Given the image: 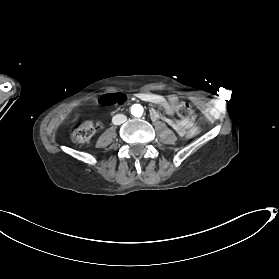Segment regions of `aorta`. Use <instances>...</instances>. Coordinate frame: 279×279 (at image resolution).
I'll use <instances>...</instances> for the list:
<instances>
[{"mask_svg": "<svg viewBox=\"0 0 279 279\" xmlns=\"http://www.w3.org/2000/svg\"><path fill=\"white\" fill-rule=\"evenodd\" d=\"M131 114L135 117H140L143 114V107L140 104H134L131 107Z\"/></svg>", "mask_w": 279, "mask_h": 279, "instance_id": "762f6f07", "label": "aorta"}]
</instances>
